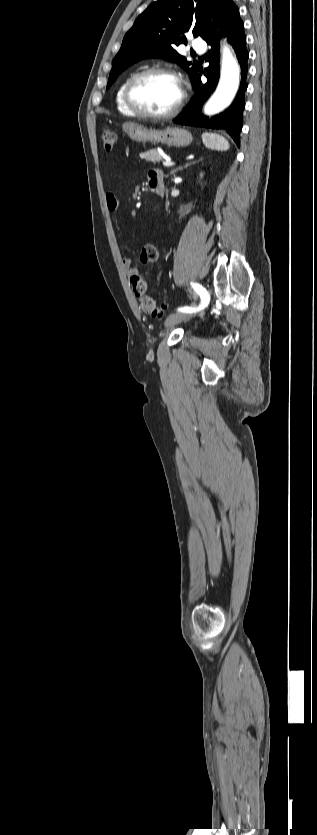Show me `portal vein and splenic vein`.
Here are the masks:
<instances>
[{"instance_id":"18ae733b","label":"portal vein and splenic vein","mask_w":317,"mask_h":835,"mask_svg":"<svg viewBox=\"0 0 317 835\" xmlns=\"http://www.w3.org/2000/svg\"><path fill=\"white\" fill-rule=\"evenodd\" d=\"M173 165H175V163H174V162H171V161H163V162H162V166H163L164 168H168V167H171V166H173Z\"/></svg>"}]
</instances>
